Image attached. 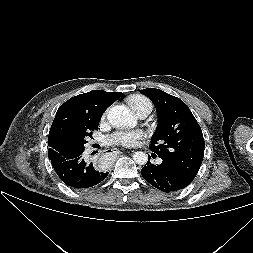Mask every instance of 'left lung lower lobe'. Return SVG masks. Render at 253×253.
I'll return each instance as SVG.
<instances>
[{
  "instance_id": "left-lung-lower-lobe-1",
  "label": "left lung lower lobe",
  "mask_w": 253,
  "mask_h": 253,
  "mask_svg": "<svg viewBox=\"0 0 253 253\" xmlns=\"http://www.w3.org/2000/svg\"><path fill=\"white\" fill-rule=\"evenodd\" d=\"M141 175L150 185L166 193L181 190L194 179L168 161L163 160L160 165L150 163L149 156Z\"/></svg>"
}]
</instances>
